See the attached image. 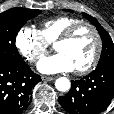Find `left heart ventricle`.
<instances>
[{
  "label": "left heart ventricle",
  "mask_w": 114,
  "mask_h": 114,
  "mask_svg": "<svg viewBox=\"0 0 114 114\" xmlns=\"http://www.w3.org/2000/svg\"><path fill=\"white\" fill-rule=\"evenodd\" d=\"M96 48V40L88 28L79 29L72 39L55 45L58 53L66 55L75 69L85 66L92 58Z\"/></svg>",
  "instance_id": "1"
}]
</instances>
